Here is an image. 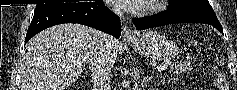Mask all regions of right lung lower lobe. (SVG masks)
Segmentation results:
<instances>
[{
    "label": "right lung lower lobe",
    "mask_w": 237,
    "mask_h": 90,
    "mask_svg": "<svg viewBox=\"0 0 237 90\" xmlns=\"http://www.w3.org/2000/svg\"><path fill=\"white\" fill-rule=\"evenodd\" d=\"M62 23H79L93 27L116 38L121 35L120 19L102 1L66 3L34 12L25 44L38 32Z\"/></svg>",
    "instance_id": "98d812e1"
}]
</instances>
